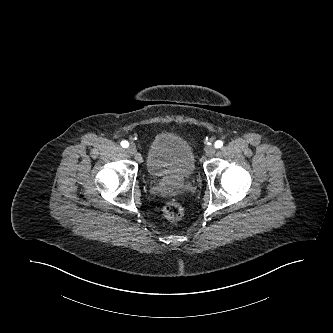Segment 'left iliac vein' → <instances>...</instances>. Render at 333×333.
I'll use <instances>...</instances> for the list:
<instances>
[{
	"mask_svg": "<svg viewBox=\"0 0 333 333\" xmlns=\"http://www.w3.org/2000/svg\"><path fill=\"white\" fill-rule=\"evenodd\" d=\"M215 152H216V149H215V147H214L213 145H209V146H207L206 149H205V154H206V156H208V157H212V156H214V155H215Z\"/></svg>",
	"mask_w": 333,
	"mask_h": 333,
	"instance_id": "4c4485c4",
	"label": "left iliac vein"
}]
</instances>
